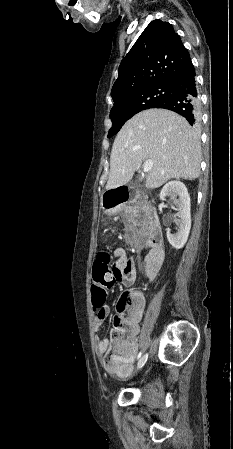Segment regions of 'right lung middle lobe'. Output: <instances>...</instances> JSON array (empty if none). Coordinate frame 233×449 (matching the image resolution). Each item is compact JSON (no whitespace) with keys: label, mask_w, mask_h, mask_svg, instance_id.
Masks as SVG:
<instances>
[{"label":"right lung middle lobe","mask_w":233,"mask_h":449,"mask_svg":"<svg viewBox=\"0 0 233 449\" xmlns=\"http://www.w3.org/2000/svg\"><path fill=\"white\" fill-rule=\"evenodd\" d=\"M171 94L170 85L157 84L122 95L114 99L110 112L112 128L108 137L115 135L124 123L138 112L155 108Z\"/></svg>","instance_id":"obj_1"}]
</instances>
